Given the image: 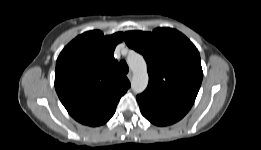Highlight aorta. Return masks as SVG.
<instances>
[{"label":"aorta","mask_w":261,"mask_h":150,"mask_svg":"<svg viewBox=\"0 0 261 150\" xmlns=\"http://www.w3.org/2000/svg\"><path fill=\"white\" fill-rule=\"evenodd\" d=\"M127 64L133 72L131 79L132 90L136 94L142 93L147 88L149 81L147 64L144 57L139 53L133 52L127 57Z\"/></svg>","instance_id":"1"}]
</instances>
